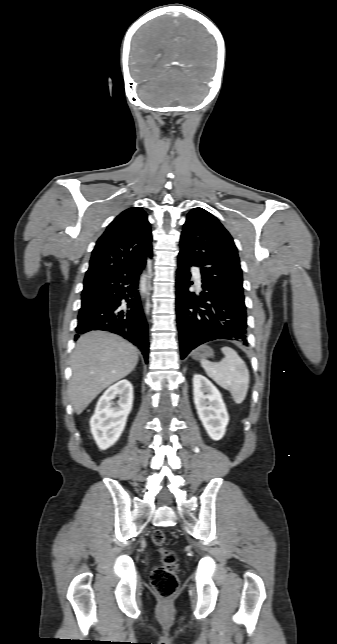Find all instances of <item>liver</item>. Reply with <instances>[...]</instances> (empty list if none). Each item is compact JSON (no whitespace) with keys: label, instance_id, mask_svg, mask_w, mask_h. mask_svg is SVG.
I'll return each mask as SVG.
<instances>
[{"label":"liver","instance_id":"1","mask_svg":"<svg viewBox=\"0 0 337 644\" xmlns=\"http://www.w3.org/2000/svg\"><path fill=\"white\" fill-rule=\"evenodd\" d=\"M138 349L123 338L102 331L81 336L71 357L69 397L77 415L105 388L130 374Z\"/></svg>","mask_w":337,"mask_h":644}]
</instances>
